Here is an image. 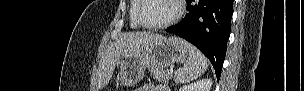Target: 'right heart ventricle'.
Returning <instances> with one entry per match:
<instances>
[{"mask_svg":"<svg viewBox=\"0 0 304 91\" xmlns=\"http://www.w3.org/2000/svg\"><path fill=\"white\" fill-rule=\"evenodd\" d=\"M137 5H138L137 0H134V1H132V5H131V8H130V25L134 29H138L141 26L136 19Z\"/></svg>","mask_w":304,"mask_h":91,"instance_id":"obj_1","label":"right heart ventricle"}]
</instances>
